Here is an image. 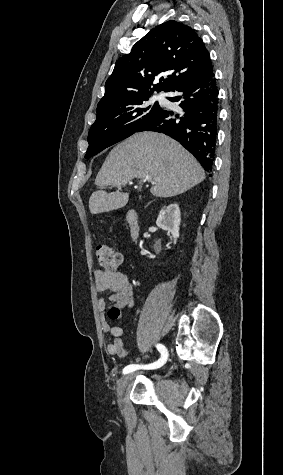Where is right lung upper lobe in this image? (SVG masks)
<instances>
[{
  "instance_id": "cb5924a9",
  "label": "right lung upper lobe",
  "mask_w": 283,
  "mask_h": 475,
  "mask_svg": "<svg viewBox=\"0 0 283 475\" xmlns=\"http://www.w3.org/2000/svg\"><path fill=\"white\" fill-rule=\"evenodd\" d=\"M213 70L204 43L189 26L168 21L152 29L116 61L98 107L154 91H170L178 83ZM161 73L159 82L153 84Z\"/></svg>"
}]
</instances>
